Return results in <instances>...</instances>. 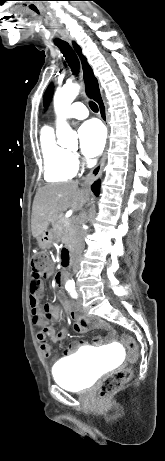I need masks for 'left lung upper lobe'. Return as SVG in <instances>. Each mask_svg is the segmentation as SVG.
<instances>
[{
  "label": "left lung upper lobe",
  "instance_id": "5c2ea615",
  "mask_svg": "<svg viewBox=\"0 0 165 461\" xmlns=\"http://www.w3.org/2000/svg\"><path fill=\"white\" fill-rule=\"evenodd\" d=\"M51 95H52V87H48V89L46 90V93L44 95V100H43V103H44V106L47 107L48 106V103H49V100L51 98Z\"/></svg>",
  "mask_w": 165,
  "mask_h": 461
}]
</instances>
